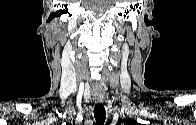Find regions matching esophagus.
Returning a JSON list of instances; mask_svg holds the SVG:
<instances>
[{
    "label": "esophagus",
    "instance_id": "1",
    "mask_svg": "<svg viewBox=\"0 0 196 125\" xmlns=\"http://www.w3.org/2000/svg\"><path fill=\"white\" fill-rule=\"evenodd\" d=\"M94 102L95 103H102L103 102V99H101V98H95L94 99Z\"/></svg>",
    "mask_w": 196,
    "mask_h": 125
}]
</instances>
